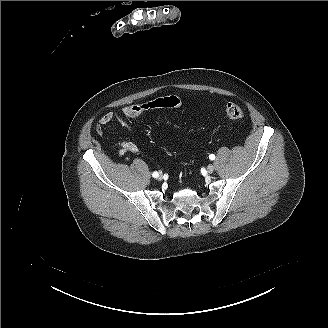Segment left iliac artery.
Returning a JSON list of instances; mask_svg holds the SVG:
<instances>
[{"instance_id": "44dca946", "label": "left iliac artery", "mask_w": 328, "mask_h": 328, "mask_svg": "<svg viewBox=\"0 0 328 328\" xmlns=\"http://www.w3.org/2000/svg\"><path fill=\"white\" fill-rule=\"evenodd\" d=\"M209 158H210L211 160H214V159H215V155H214V154H211V155H209Z\"/></svg>"}]
</instances>
